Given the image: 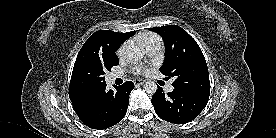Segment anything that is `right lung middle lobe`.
I'll use <instances>...</instances> for the list:
<instances>
[{"label":"right lung middle lobe","mask_w":276,"mask_h":138,"mask_svg":"<svg viewBox=\"0 0 276 138\" xmlns=\"http://www.w3.org/2000/svg\"><path fill=\"white\" fill-rule=\"evenodd\" d=\"M118 64L119 60L115 53H106L103 56L92 55L74 64L71 78L76 87L93 90L106 84L105 72Z\"/></svg>","instance_id":"dd1d6c3e"}]
</instances>
